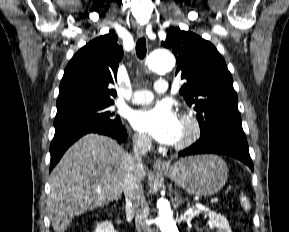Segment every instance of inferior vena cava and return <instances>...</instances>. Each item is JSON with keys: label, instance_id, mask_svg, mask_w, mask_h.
I'll use <instances>...</instances> for the list:
<instances>
[{"label": "inferior vena cava", "instance_id": "602c4592", "mask_svg": "<svg viewBox=\"0 0 289 232\" xmlns=\"http://www.w3.org/2000/svg\"><path fill=\"white\" fill-rule=\"evenodd\" d=\"M151 147V140L145 135L133 139V152L125 156V175L123 190L126 200V213L135 215V225L138 232H151L148 223L149 208L145 200L137 169L141 168L142 157Z\"/></svg>", "mask_w": 289, "mask_h": 232}]
</instances>
